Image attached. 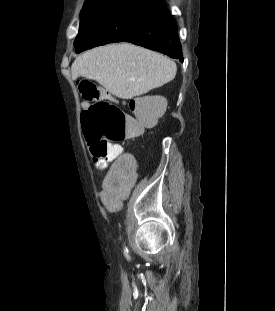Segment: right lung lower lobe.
<instances>
[{
	"label": "right lung lower lobe",
	"instance_id": "obj_1",
	"mask_svg": "<svg viewBox=\"0 0 275 311\" xmlns=\"http://www.w3.org/2000/svg\"><path fill=\"white\" fill-rule=\"evenodd\" d=\"M121 41L164 53L183 62L177 24L164 5L135 23Z\"/></svg>",
	"mask_w": 275,
	"mask_h": 311
}]
</instances>
